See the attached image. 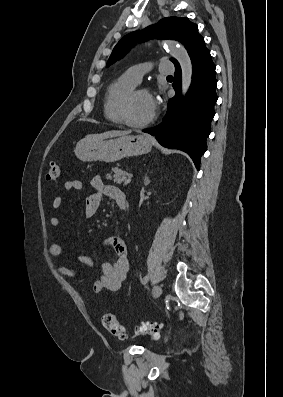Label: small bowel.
I'll return each instance as SVG.
<instances>
[{
  "instance_id": "obj_1",
  "label": "small bowel",
  "mask_w": 283,
  "mask_h": 397,
  "mask_svg": "<svg viewBox=\"0 0 283 397\" xmlns=\"http://www.w3.org/2000/svg\"><path fill=\"white\" fill-rule=\"evenodd\" d=\"M93 192L87 197L85 202V216L92 219L96 216L102 199L104 196L112 199L119 208L124 209L127 206V198L125 193L119 188L106 185L99 176H95L91 180ZM66 190H81L83 182L81 180H69L64 184ZM63 198L57 195L52 202L54 209H59L62 206ZM50 225L58 229L61 226V221L58 217L52 216L49 220ZM109 247L114 251L116 259L113 263L105 262L101 265V275L99 279L91 284V289L94 293H99L103 290L109 291L111 294L116 295L125 280L128 270L129 261L127 254V247L125 242L119 237H112L108 239ZM63 248L60 244H51L48 248V253L51 257H58L62 254ZM77 260L86 266H93L94 260L89 256H78ZM58 273L64 277L72 279L76 282H83L80 273L71 267L60 266L57 269Z\"/></svg>"
}]
</instances>
